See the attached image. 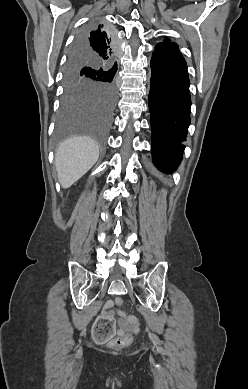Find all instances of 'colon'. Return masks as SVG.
<instances>
[{
	"label": "colon",
	"instance_id": "obj_1",
	"mask_svg": "<svg viewBox=\"0 0 248 389\" xmlns=\"http://www.w3.org/2000/svg\"><path fill=\"white\" fill-rule=\"evenodd\" d=\"M124 299L118 297L116 299V305L120 308L124 307ZM116 329V323L112 317H101L94 323V335L97 338L98 344H109V347L113 350H119L126 346L131 341L129 334H122L121 336L114 338L110 341L107 337L111 332Z\"/></svg>",
	"mask_w": 248,
	"mask_h": 389
}]
</instances>
